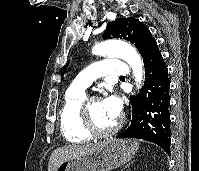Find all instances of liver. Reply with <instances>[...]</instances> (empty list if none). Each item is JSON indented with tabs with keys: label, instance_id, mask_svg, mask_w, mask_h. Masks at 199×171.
<instances>
[{
	"label": "liver",
	"instance_id": "liver-1",
	"mask_svg": "<svg viewBox=\"0 0 199 171\" xmlns=\"http://www.w3.org/2000/svg\"><path fill=\"white\" fill-rule=\"evenodd\" d=\"M104 144L105 141L95 144L69 145L57 148L50 156L48 171H55L62 162L92 153Z\"/></svg>",
	"mask_w": 199,
	"mask_h": 171
}]
</instances>
